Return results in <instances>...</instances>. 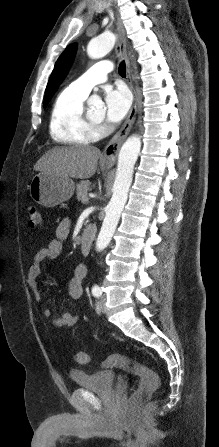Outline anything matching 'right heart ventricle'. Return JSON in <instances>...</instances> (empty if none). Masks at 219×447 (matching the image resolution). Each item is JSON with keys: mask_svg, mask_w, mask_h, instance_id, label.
I'll return each mask as SVG.
<instances>
[{"mask_svg": "<svg viewBox=\"0 0 219 447\" xmlns=\"http://www.w3.org/2000/svg\"><path fill=\"white\" fill-rule=\"evenodd\" d=\"M86 96L70 87L56 97L50 115V135L61 144L83 145L97 139L99 133L86 124L83 116Z\"/></svg>", "mask_w": 219, "mask_h": 447, "instance_id": "obj_1", "label": "right heart ventricle"}]
</instances>
